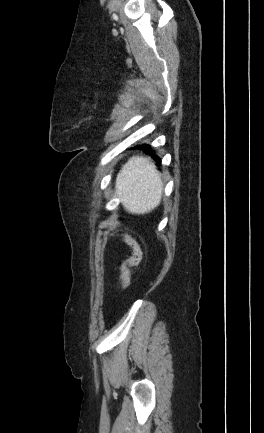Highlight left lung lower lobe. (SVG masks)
Here are the masks:
<instances>
[{
    "mask_svg": "<svg viewBox=\"0 0 264 433\" xmlns=\"http://www.w3.org/2000/svg\"><path fill=\"white\" fill-rule=\"evenodd\" d=\"M141 147L144 148L147 151V153L151 155L158 163L161 162V159L154 153L150 145L143 144L141 145Z\"/></svg>",
    "mask_w": 264,
    "mask_h": 433,
    "instance_id": "0a47b994",
    "label": "left lung lower lobe"
}]
</instances>
